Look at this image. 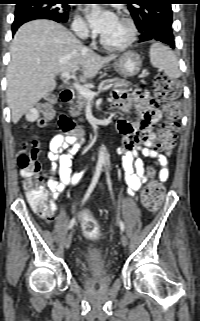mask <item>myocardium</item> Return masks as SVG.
I'll use <instances>...</instances> for the list:
<instances>
[{"mask_svg":"<svg viewBox=\"0 0 200 321\" xmlns=\"http://www.w3.org/2000/svg\"><path fill=\"white\" fill-rule=\"evenodd\" d=\"M119 18H121L129 27L130 35L128 40L119 45H112L106 42V40L103 38V36H100L99 42L102 45L103 48L109 51H123L131 47V45L136 41L137 35H138V29L136 26L135 21L128 15L121 13L119 15Z\"/></svg>","mask_w":200,"mask_h":321,"instance_id":"f54148a6","label":"myocardium"}]
</instances>
